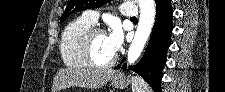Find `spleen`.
<instances>
[{
	"label": "spleen",
	"instance_id": "obj_1",
	"mask_svg": "<svg viewBox=\"0 0 225 92\" xmlns=\"http://www.w3.org/2000/svg\"><path fill=\"white\" fill-rule=\"evenodd\" d=\"M132 91L133 92H151L148 84L139 76L132 78Z\"/></svg>",
	"mask_w": 225,
	"mask_h": 92
}]
</instances>
